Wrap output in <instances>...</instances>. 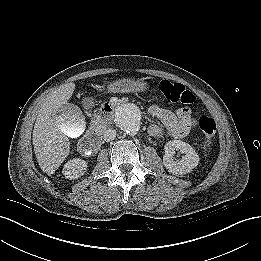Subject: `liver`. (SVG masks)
<instances>
[{
	"label": "liver",
	"instance_id": "6515ba94",
	"mask_svg": "<svg viewBox=\"0 0 261 261\" xmlns=\"http://www.w3.org/2000/svg\"><path fill=\"white\" fill-rule=\"evenodd\" d=\"M75 90V83L61 85L52 91L42 102L33 129V146L37 162L43 172L52 175L63 163L70 152V142L58 115L63 105L67 104ZM75 122L72 128L74 135H80L84 128V117L75 106Z\"/></svg>",
	"mask_w": 261,
	"mask_h": 261
}]
</instances>
